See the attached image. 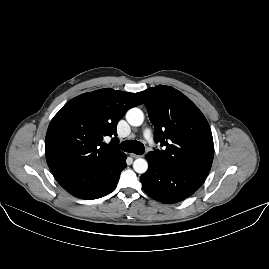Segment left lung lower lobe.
<instances>
[{"label": "left lung lower lobe", "mask_w": 269, "mask_h": 269, "mask_svg": "<svg viewBox=\"0 0 269 269\" xmlns=\"http://www.w3.org/2000/svg\"><path fill=\"white\" fill-rule=\"evenodd\" d=\"M147 159V158H146ZM149 168L140 181L145 192L153 199L171 204L190 197L206 177L164 166L147 159Z\"/></svg>", "instance_id": "obj_1"}]
</instances>
